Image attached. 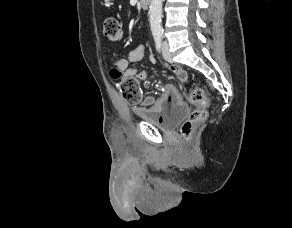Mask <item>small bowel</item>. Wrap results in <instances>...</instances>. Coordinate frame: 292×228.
<instances>
[{"label": "small bowel", "mask_w": 292, "mask_h": 228, "mask_svg": "<svg viewBox=\"0 0 292 228\" xmlns=\"http://www.w3.org/2000/svg\"><path fill=\"white\" fill-rule=\"evenodd\" d=\"M145 56V48L143 45H139L136 48L130 50L126 57H123L113 63V67L121 72L122 78H136L139 81H146L147 73L144 70L138 68H128L129 63L138 62ZM171 72L181 82L186 83L188 81L187 72L179 65H171ZM148 86V84H147ZM181 101V96L172 84L166 85L159 97L152 95L144 97L140 104L135 106V113L142 117L144 115L157 114L168 106L176 105Z\"/></svg>", "instance_id": "c3829d8e"}]
</instances>
